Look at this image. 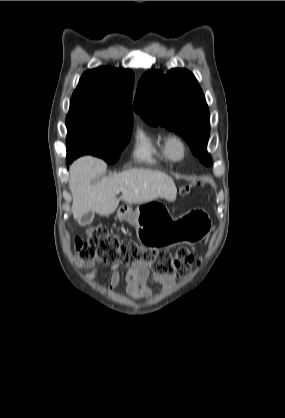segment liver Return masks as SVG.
I'll return each instance as SVG.
<instances>
[{"instance_id": "1", "label": "liver", "mask_w": 285, "mask_h": 418, "mask_svg": "<svg viewBox=\"0 0 285 418\" xmlns=\"http://www.w3.org/2000/svg\"><path fill=\"white\" fill-rule=\"evenodd\" d=\"M106 168L103 160L92 156L81 157L71 165L69 188L73 197L72 214L79 222L88 211L101 216L112 214L120 200L129 204H142L158 197L168 201L176 199L177 189L169 175L142 168L104 177L91 185L92 179ZM118 189L124 190L120 199L117 198Z\"/></svg>"}]
</instances>
